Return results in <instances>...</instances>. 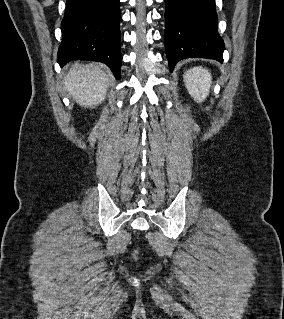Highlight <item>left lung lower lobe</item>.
<instances>
[{"instance_id":"0a47b994","label":"left lung lower lobe","mask_w":284,"mask_h":319,"mask_svg":"<svg viewBox=\"0 0 284 319\" xmlns=\"http://www.w3.org/2000/svg\"><path fill=\"white\" fill-rule=\"evenodd\" d=\"M165 50L170 71L185 58L223 62L214 0H165Z\"/></svg>"}]
</instances>
